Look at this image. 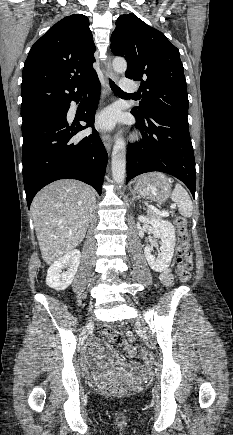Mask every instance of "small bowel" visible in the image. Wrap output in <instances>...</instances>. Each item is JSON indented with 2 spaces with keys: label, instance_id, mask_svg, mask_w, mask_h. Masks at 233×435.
<instances>
[{
  "label": "small bowel",
  "instance_id": "small-bowel-1",
  "mask_svg": "<svg viewBox=\"0 0 233 435\" xmlns=\"http://www.w3.org/2000/svg\"><path fill=\"white\" fill-rule=\"evenodd\" d=\"M161 283L165 286H170L173 282V276L171 270L165 269L160 276ZM125 349L131 358H135L137 355L136 348L131 345H125ZM93 364V370L97 375H102L104 372L113 370L117 371H136L143 373L146 370V366L138 361L125 362L119 359L113 348L106 346L104 343H98L93 349L91 356L88 358ZM101 360H108L110 363L102 365Z\"/></svg>",
  "mask_w": 233,
  "mask_h": 435
}]
</instances>
